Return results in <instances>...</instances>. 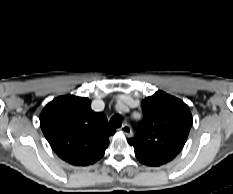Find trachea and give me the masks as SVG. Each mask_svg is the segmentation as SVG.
I'll list each match as a JSON object with an SVG mask.
<instances>
[{"label":"trachea","instance_id":"1","mask_svg":"<svg viewBox=\"0 0 233 194\" xmlns=\"http://www.w3.org/2000/svg\"><path fill=\"white\" fill-rule=\"evenodd\" d=\"M122 125V120L121 117L119 115H114L111 119H110V127L115 129V128H119Z\"/></svg>","mask_w":233,"mask_h":194}]
</instances>
